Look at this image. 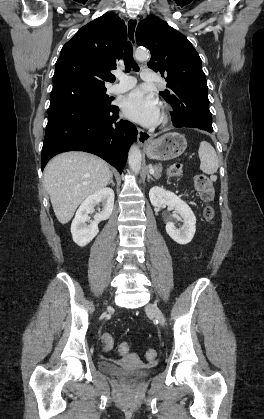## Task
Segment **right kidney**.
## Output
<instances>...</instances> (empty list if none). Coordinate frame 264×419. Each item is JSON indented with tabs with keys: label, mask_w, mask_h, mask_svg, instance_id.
Here are the masks:
<instances>
[{
	"label": "right kidney",
	"mask_w": 264,
	"mask_h": 419,
	"mask_svg": "<svg viewBox=\"0 0 264 419\" xmlns=\"http://www.w3.org/2000/svg\"><path fill=\"white\" fill-rule=\"evenodd\" d=\"M114 197V191L111 188H102L82 202L71 224L72 238L77 245L86 246L99 233V222L107 220L112 214ZM99 203L103 204V210L94 216L93 221H90L88 215ZM86 222H90V225Z\"/></svg>",
	"instance_id": "obj_1"
}]
</instances>
